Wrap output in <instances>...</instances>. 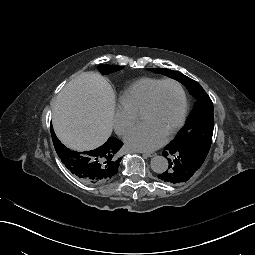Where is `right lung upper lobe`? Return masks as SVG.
I'll use <instances>...</instances> for the list:
<instances>
[{"mask_svg": "<svg viewBox=\"0 0 255 255\" xmlns=\"http://www.w3.org/2000/svg\"><path fill=\"white\" fill-rule=\"evenodd\" d=\"M52 140L55 150L63 164L77 178L86 183H104L112 179L118 172L119 163L122 157H119L123 143L115 137H110L107 142L97 149L84 152H74L67 149L56 137L53 129L51 130ZM85 154L96 155L99 163L96 165L100 168V175L96 178H85L83 176V156Z\"/></svg>", "mask_w": 255, "mask_h": 255, "instance_id": "cb5924a9", "label": "right lung upper lobe"}]
</instances>
